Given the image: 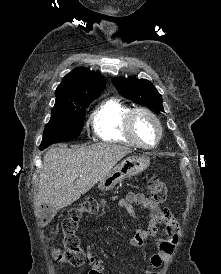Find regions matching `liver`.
<instances>
[{
	"instance_id": "liver-1",
	"label": "liver",
	"mask_w": 221,
	"mask_h": 274,
	"mask_svg": "<svg viewBox=\"0 0 221 274\" xmlns=\"http://www.w3.org/2000/svg\"><path fill=\"white\" fill-rule=\"evenodd\" d=\"M130 148L97 143L88 147L51 148L43 157L35 207L46 204L54 210L71 205L100 182ZM78 177L73 179L72 177Z\"/></svg>"
}]
</instances>
